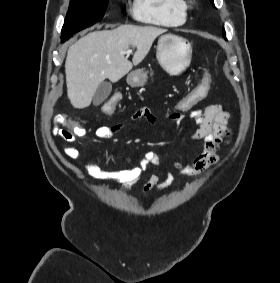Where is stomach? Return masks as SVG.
<instances>
[{
	"label": "stomach",
	"instance_id": "stomach-1",
	"mask_svg": "<svg viewBox=\"0 0 280 283\" xmlns=\"http://www.w3.org/2000/svg\"><path fill=\"white\" fill-rule=\"evenodd\" d=\"M156 56L161 67L168 74L176 76L189 67L192 58V47L187 39L168 33L159 38ZM148 74L145 69H137L128 75L127 82L133 87L144 86Z\"/></svg>",
	"mask_w": 280,
	"mask_h": 283
}]
</instances>
